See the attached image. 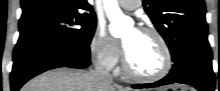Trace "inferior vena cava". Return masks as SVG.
<instances>
[{
  "label": "inferior vena cava",
  "mask_w": 220,
  "mask_h": 91,
  "mask_svg": "<svg viewBox=\"0 0 220 91\" xmlns=\"http://www.w3.org/2000/svg\"><path fill=\"white\" fill-rule=\"evenodd\" d=\"M92 74L98 80L109 82V83L112 82V77H111L109 70L99 62H96L95 70L92 71Z\"/></svg>",
  "instance_id": "602c4592"
}]
</instances>
